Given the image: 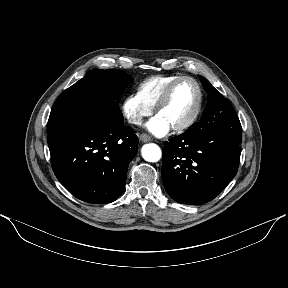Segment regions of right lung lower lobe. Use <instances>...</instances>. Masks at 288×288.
<instances>
[{
  "mask_svg": "<svg viewBox=\"0 0 288 288\" xmlns=\"http://www.w3.org/2000/svg\"><path fill=\"white\" fill-rule=\"evenodd\" d=\"M51 165L57 179L78 199L115 201L138 149L134 131L114 121L96 103L73 105L48 120Z\"/></svg>",
  "mask_w": 288,
  "mask_h": 288,
  "instance_id": "obj_1",
  "label": "right lung lower lobe"
}]
</instances>
